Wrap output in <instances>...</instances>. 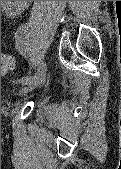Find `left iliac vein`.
<instances>
[{
	"instance_id": "4c4485c4",
	"label": "left iliac vein",
	"mask_w": 121,
	"mask_h": 169,
	"mask_svg": "<svg viewBox=\"0 0 121 169\" xmlns=\"http://www.w3.org/2000/svg\"><path fill=\"white\" fill-rule=\"evenodd\" d=\"M42 64H45V62H42ZM46 65V64H45ZM46 82V74L39 75L37 78L31 80L28 84L24 85L21 89V93L25 94L29 91H32L36 87L43 86Z\"/></svg>"
}]
</instances>
